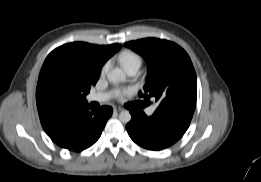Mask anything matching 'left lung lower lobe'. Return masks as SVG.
Segmentation results:
<instances>
[{
	"mask_svg": "<svg viewBox=\"0 0 261 182\" xmlns=\"http://www.w3.org/2000/svg\"><path fill=\"white\" fill-rule=\"evenodd\" d=\"M132 118L126 125L131 139L149 150L167 148L179 140L189 127L190 121L155 115L148 117L142 111H130Z\"/></svg>",
	"mask_w": 261,
	"mask_h": 182,
	"instance_id": "0a47b994",
	"label": "left lung lower lobe"
}]
</instances>
